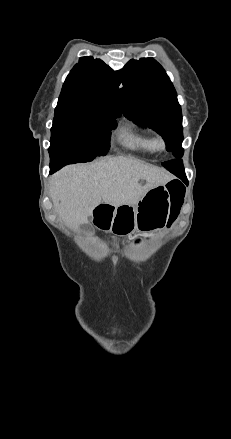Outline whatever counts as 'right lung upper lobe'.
<instances>
[{"mask_svg": "<svg viewBox=\"0 0 231 439\" xmlns=\"http://www.w3.org/2000/svg\"><path fill=\"white\" fill-rule=\"evenodd\" d=\"M119 77L100 59L81 57L67 76L56 109L121 110Z\"/></svg>", "mask_w": 231, "mask_h": 439, "instance_id": "cb5924a9", "label": "right lung upper lobe"}]
</instances>
